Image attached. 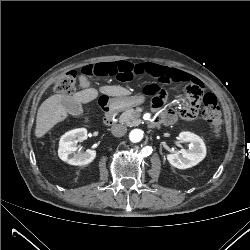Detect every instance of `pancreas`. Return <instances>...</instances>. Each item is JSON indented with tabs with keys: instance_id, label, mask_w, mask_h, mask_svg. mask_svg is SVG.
Returning a JSON list of instances; mask_svg holds the SVG:
<instances>
[{
	"instance_id": "obj_1",
	"label": "pancreas",
	"mask_w": 250,
	"mask_h": 250,
	"mask_svg": "<svg viewBox=\"0 0 250 250\" xmlns=\"http://www.w3.org/2000/svg\"><path fill=\"white\" fill-rule=\"evenodd\" d=\"M143 111V108L137 107L136 109H129L122 113L119 118L120 123L127 126H136L140 124V113Z\"/></svg>"
}]
</instances>
